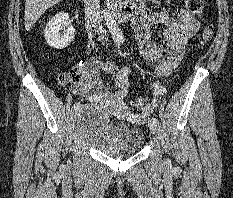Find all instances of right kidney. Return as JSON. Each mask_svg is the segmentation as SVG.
Returning a JSON list of instances; mask_svg holds the SVG:
<instances>
[{"mask_svg": "<svg viewBox=\"0 0 233 198\" xmlns=\"http://www.w3.org/2000/svg\"><path fill=\"white\" fill-rule=\"evenodd\" d=\"M62 29L65 30L64 34H60ZM44 37L50 47L66 48L75 37V28L71 25L68 14L58 13L51 18L44 30Z\"/></svg>", "mask_w": 233, "mask_h": 198, "instance_id": "obj_1", "label": "right kidney"}]
</instances>
